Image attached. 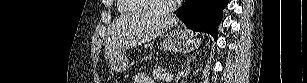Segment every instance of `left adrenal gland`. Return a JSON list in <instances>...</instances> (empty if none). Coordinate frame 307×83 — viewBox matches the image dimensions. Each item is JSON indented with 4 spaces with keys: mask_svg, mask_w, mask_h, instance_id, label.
I'll return each mask as SVG.
<instances>
[{
    "mask_svg": "<svg viewBox=\"0 0 307 83\" xmlns=\"http://www.w3.org/2000/svg\"><path fill=\"white\" fill-rule=\"evenodd\" d=\"M190 62H191V60H189V62H188V64H187L186 68H185L184 71L182 72L183 77L187 76V75L190 73V71H191Z\"/></svg>",
    "mask_w": 307,
    "mask_h": 83,
    "instance_id": "1",
    "label": "left adrenal gland"
}]
</instances>
